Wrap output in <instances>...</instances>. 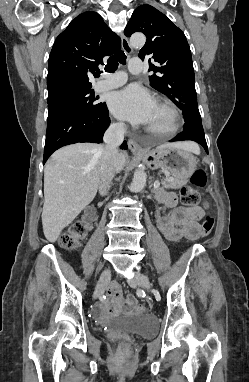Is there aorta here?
I'll return each instance as SVG.
<instances>
[{"label": "aorta", "mask_w": 249, "mask_h": 382, "mask_svg": "<svg viewBox=\"0 0 249 382\" xmlns=\"http://www.w3.org/2000/svg\"><path fill=\"white\" fill-rule=\"evenodd\" d=\"M145 41L146 38L143 34H134L130 38L131 45L136 48L142 47ZM146 178V173L141 169H137L134 172L133 180L130 185V190L132 192L142 191L146 185Z\"/></svg>", "instance_id": "762f6f07"}]
</instances>
